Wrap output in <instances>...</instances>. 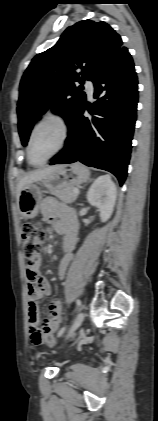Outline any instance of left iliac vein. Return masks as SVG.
<instances>
[{"mask_svg":"<svg viewBox=\"0 0 158 421\" xmlns=\"http://www.w3.org/2000/svg\"><path fill=\"white\" fill-rule=\"evenodd\" d=\"M84 313L83 312H79L78 315L76 316L74 323L72 325V327L70 328V330L68 331V334L66 336V339H69L71 337L74 336L75 331L81 326L83 320H84Z\"/></svg>","mask_w":158,"mask_h":421,"instance_id":"obj_1","label":"left iliac vein"}]
</instances>
